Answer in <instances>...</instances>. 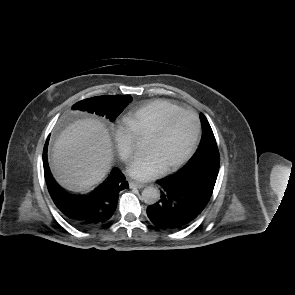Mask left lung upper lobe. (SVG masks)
<instances>
[{
    "instance_id": "5c2ea615",
    "label": "left lung upper lobe",
    "mask_w": 295,
    "mask_h": 295,
    "mask_svg": "<svg viewBox=\"0 0 295 295\" xmlns=\"http://www.w3.org/2000/svg\"><path fill=\"white\" fill-rule=\"evenodd\" d=\"M200 119L202 123V139L200 148L182 170L190 168L197 162L204 159H210L218 162L220 161L219 151L210 124L203 114H200Z\"/></svg>"
}]
</instances>
